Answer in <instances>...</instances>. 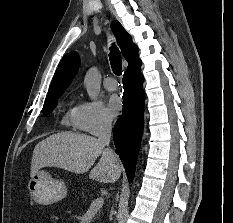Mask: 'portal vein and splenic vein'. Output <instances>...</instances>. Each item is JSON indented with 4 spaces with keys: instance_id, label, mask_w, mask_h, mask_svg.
Masks as SVG:
<instances>
[{
    "instance_id": "18ae733b",
    "label": "portal vein and splenic vein",
    "mask_w": 233,
    "mask_h": 223,
    "mask_svg": "<svg viewBox=\"0 0 233 223\" xmlns=\"http://www.w3.org/2000/svg\"><path fill=\"white\" fill-rule=\"evenodd\" d=\"M103 203H104V197H97V199H94V201H92V205H99V207H101Z\"/></svg>"
}]
</instances>
